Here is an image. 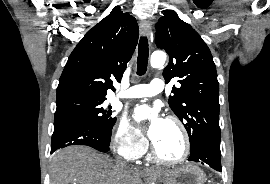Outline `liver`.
I'll return each instance as SVG.
<instances>
[{
  "instance_id": "obj_1",
  "label": "liver",
  "mask_w": 270,
  "mask_h": 184,
  "mask_svg": "<svg viewBox=\"0 0 270 184\" xmlns=\"http://www.w3.org/2000/svg\"><path fill=\"white\" fill-rule=\"evenodd\" d=\"M140 177L86 146L59 150L50 172L51 184H140Z\"/></svg>"
}]
</instances>
